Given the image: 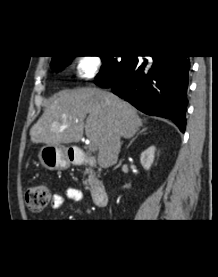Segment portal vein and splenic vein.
I'll return each mask as SVG.
<instances>
[{
    "label": "portal vein and splenic vein",
    "mask_w": 218,
    "mask_h": 277,
    "mask_svg": "<svg viewBox=\"0 0 218 277\" xmlns=\"http://www.w3.org/2000/svg\"><path fill=\"white\" fill-rule=\"evenodd\" d=\"M88 144H89V150L90 151L94 152V151L97 150V146L95 144L90 143V142H88Z\"/></svg>",
    "instance_id": "18ae733b"
}]
</instances>
